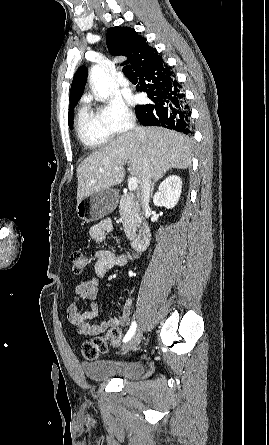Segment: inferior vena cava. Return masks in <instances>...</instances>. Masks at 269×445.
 I'll return each instance as SVG.
<instances>
[{
	"instance_id": "1",
	"label": "inferior vena cava",
	"mask_w": 269,
	"mask_h": 445,
	"mask_svg": "<svg viewBox=\"0 0 269 445\" xmlns=\"http://www.w3.org/2000/svg\"><path fill=\"white\" fill-rule=\"evenodd\" d=\"M131 129L138 134L140 137H143L144 130L141 127H137L135 125V121L130 122ZM144 164L145 167H147V160L146 157H144ZM146 175L144 176L142 183H141V198H142V205L145 211L149 208V200H150V191H151V177L150 174L145 169Z\"/></svg>"
}]
</instances>
